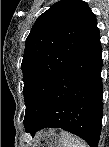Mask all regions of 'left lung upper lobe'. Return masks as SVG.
Instances as JSON below:
<instances>
[{
	"mask_svg": "<svg viewBox=\"0 0 109 147\" xmlns=\"http://www.w3.org/2000/svg\"><path fill=\"white\" fill-rule=\"evenodd\" d=\"M97 29L95 15L81 0L59 1L39 16L21 64L25 128L38 120L60 71Z\"/></svg>",
	"mask_w": 109,
	"mask_h": 147,
	"instance_id": "left-lung-upper-lobe-1",
	"label": "left lung upper lobe"
}]
</instances>
